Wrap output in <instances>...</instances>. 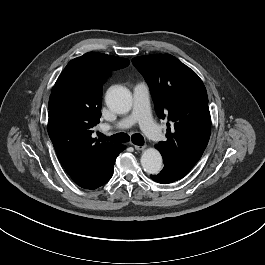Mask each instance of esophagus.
Wrapping results in <instances>:
<instances>
[{"instance_id": "obj_1", "label": "esophagus", "mask_w": 265, "mask_h": 265, "mask_svg": "<svg viewBox=\"0 0 265 265\" xmlns=\"http://www.w3.org/2000/svg\"><path fill=\"white\" fill-rule=\"evenodd\" d=\"M146 145H134V148L138 151H142L146 149Z\"/></svg>"}]
</instances>
